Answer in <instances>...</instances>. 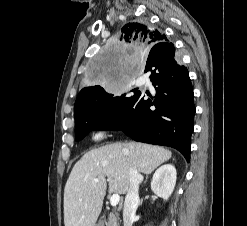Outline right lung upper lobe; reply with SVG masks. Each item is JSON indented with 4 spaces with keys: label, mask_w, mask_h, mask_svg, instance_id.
Segmentation results:
<instances>
[{
    "label": "right lung upper lobe",
    "mask_w": 247,
    "mask_h": 226,
    "mask_svg": "<svg viewBox=\"0 0 247 226\" xmlns=\"http://www.w3.org/2000/svg\"><path fill=\"white\" fill-rule=\"evenodd\" d=\"M119 41L121 46L137 44L152 47L156 44L165 43L168 39L165 34L161 33L148 23L131 22L122 27ZM98 89V86H88L83 88L78 94L75 105L83 99L91 96Z\"/></svg>",
    "instance_id": "obj_1"
}]
</instances>
